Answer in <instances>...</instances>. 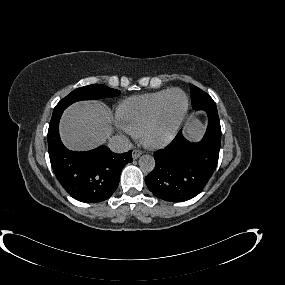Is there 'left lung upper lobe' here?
<instances>
[{"instance_id":"1","label":"left lung upper lobe","mask_w":285,"mask_h":285,"mask_svg":"<svg viewBox=\"0 0 285 285\" xmlns=\"http://www.w3.org/2000/svg\"><path fill=\"white\" fill-rule=\"evenodd\" d=\"M191 102L193 109L197 110L206 104H214L213 99L198 87L190 84Z\"/></svg>"}]
</instances>
